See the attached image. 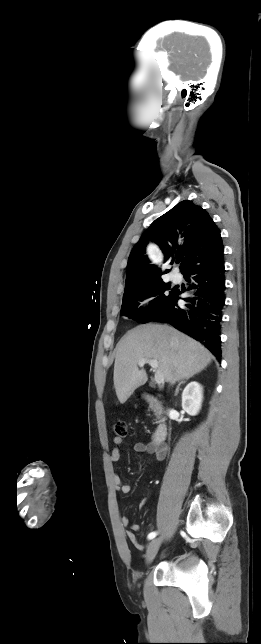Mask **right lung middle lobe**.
<instances>
[{
    "instance_id": "1",
    "label": "right lung middle lobe",
    "mask_w": 261,
    "mask_h": 644,
    "mask_svg": "<svg viewBox=\"0 0 261 644\" xmlns=\"http://www.w3.org/2000/svg\"><path fill=\"white\" fill-rule=\"evenodd\" d=\"M177 292L176 289L171 288L170 283H164L162 280L125 288L121 314L139 323L150 322L165 310ZM147 296H156V298L149 308H138V301Z\"/></svg>"
}]
</instances>
